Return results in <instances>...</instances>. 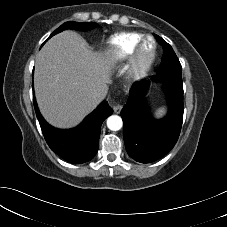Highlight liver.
<instances>
[{
	"label": "liver",
	"mask_w": 227,
	"mask_h": 227,
	"mask_svg": "<svg viewBox=\"0 0 227 227\" xmlns=\"http://www.w3.org/2000/svg\"><path fill=\"white\" fill-rule=\"evenodd\" d=\"M112 59L92 51L76 32L64 31L47 41L36 57L35 95L44 118L70 128L93 111L92 94L111 82Z\"/></svg>",
	"instance_id": "6515ba94"
}]
</instances>
